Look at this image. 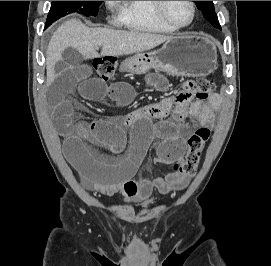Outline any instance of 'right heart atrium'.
Instances as JSON below:
<instances>
[{
	"label": "right heart atrium",
	"mask_w": 271,
	"mask_h": 266,
	"mask_svg": "<svg viewBox=\"0 0 271 266\" xmlns=\"http://www.w3.org/2000/svg\"><path fill=\"white\" fill-rule=\"evenodd\" d=\"M107 6L111 9H114L118 6V1H105Z\"/></svg>",
	"instance_id": "obj_1"
}]
</instances>
